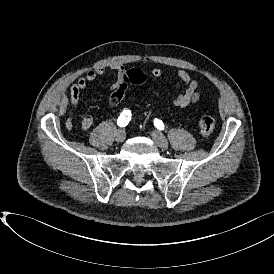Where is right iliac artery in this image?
Wrapping results in <instances>:
<instances>
[{
  "label": "right iliac artery",
  "instance_id": "82829eb1",
  "mask_svg": "<svg viewBox=\"0 0 274 274\" xmlns=\"http://www.w3.org/2000/svg\"><path fill=\"white\" fill-rule=\"evenodd\" d=\"M130 119H131V111L129 110L123 111L117 120V124L120 127H125L129 123Z\"/></svg>",
  "mask_w": 274,
  "mask_h": 274
}]
</instances>
